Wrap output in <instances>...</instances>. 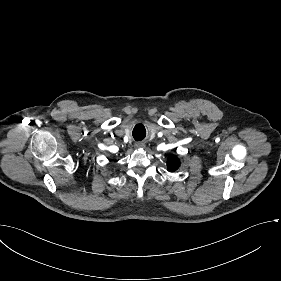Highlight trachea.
<instances>
[{
	"label": "trachea",
	"mask_w": 281,
	"mask_h": 281,
	"mask_svg": "<svg viewBox=\"0 0 281 281\" xmlns=\"http://www.w3.org/2000/svg\"><path fill=\"white\" fill-rule=\"evenodd\" d=\"M135 138V137H134ZM144 137H141V138H135V140H142Z\"/></svg>",
	"instance_id": "1"
}]
</instances>
